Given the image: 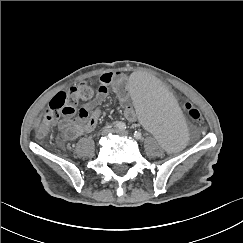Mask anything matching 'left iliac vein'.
I'll return each instance as SVG.
<instances>
[{"instance_id": "4c4485c4", "label": "left iliac vein", "mask_w": 243, "mask_h": 243, "mask_svg": "<svg viewBox=\"0 0 243 243\" xmlns=\"http://www.w3.org/2000/svg\"><path fill=\"white\" fill-rule=\"evenodd\" d=\"M115 133H118V134H121V135H124V136H127L128 135V132L125 131V130H119V129H115L113 130Z\"/></svg>"}]
</instances>
